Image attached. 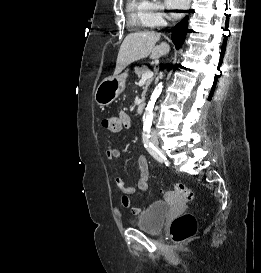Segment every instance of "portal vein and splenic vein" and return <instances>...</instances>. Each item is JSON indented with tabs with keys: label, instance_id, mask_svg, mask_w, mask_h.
<instances>
[{
	"label": "portal vein and splenic vein",
	"instance_id": "portal-vein-and-splenic-vein-1",
	"mask_svg": "<svg viewBox=\"0 0 261 273\" xmlns=\"http://www.w3.org/2000/svg\"><path fill=\"white\" fill-rule=\"evenodd\" d=\"M153 76V72L152 71H148L146 73H144L141 77L142 80H148Z\"/></svg>",
	"mask_w": 261,
	"mask_h": 273
}]
</instances>
